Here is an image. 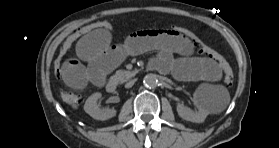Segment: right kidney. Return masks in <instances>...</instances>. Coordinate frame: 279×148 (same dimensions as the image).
Instances as JSON below:
<instances>
[{"instance_id":"right-kidney-1","label":"right kidney","mask_w":279,"mask_h":148,"mask_svg":"<svg viewBox=\"0 0 279 148\" xmlns=\"http://www.w3.org/2000/svg\"><path fill=\"white\" fill-rule=\"evenodd\" d=\"M102 96L100 92L93 93L85 102L84 110L92 118L97 120H107L116 115V110L110 108H100L97 105V100Z\"/></svg>"}]
</instances>
